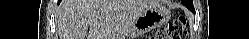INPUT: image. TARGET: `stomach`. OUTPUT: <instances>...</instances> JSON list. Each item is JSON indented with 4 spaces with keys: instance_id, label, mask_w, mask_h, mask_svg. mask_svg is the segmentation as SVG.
<instances>
[{
    "instance_id": "0dacf381",
    "label": "stomach",
    "mask_w": 249,
    "mask_h": 39,
    "mask_svg": "<svg viewBox=\"0 0 249 39\" xmlns=\"http://www.w3.org/2000/svg\"><path fill=\"white\" fill-rule=\"evenodd\" d=\"M170 18V10L163 6L149 9L135 19L129 36L133 39L134 37L150 32L166 24Z\"/></svg>"
}]
</instances>
